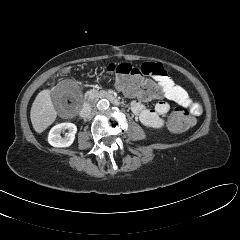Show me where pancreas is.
I'll use <instances>...</instances> for the list:
<instances>
[{
    "instance_id": "1",
    "label": "pancreas",
    "mask_w": 240,
    "mask_h": 240,
    "mask_svg": "<svg viewBox=\"0 0 240 240\" xmlns=\"http://www.w3.org/2000/svg\"><path fill=\"white\" fill-rule=\"evenodd\" d=\"M97 92H98L97 90L90 91L87 93V96L91 95V93H97Z\"/></svg>"
}]
</instances>
